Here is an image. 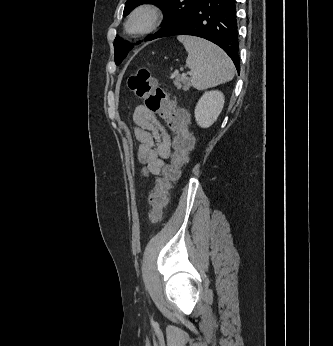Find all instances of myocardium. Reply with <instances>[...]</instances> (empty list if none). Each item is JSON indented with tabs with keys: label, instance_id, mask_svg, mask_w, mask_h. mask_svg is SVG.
I'll return each instance as SVG.
<instances>
[{
	"label": "myocardium",
	"instance_id": "obj_1",
	"mask_svg": "<svg viewBox=\"0 0 333 346\" xmlns=\"http://www.w3.org/2000/svg\"><path fill=\"white\" fill-rule=\"evenodd\" d=\"M163 17L164 11L160 5L154 2L142 3L128 15L124 23V31L132 37L149 34L161 24ZM139 18H145L146 23L141 28L134 29L132 24Z\"/></svg>",
	"mask_w": 333,
	"mask_h": 346
}]
</instances>
